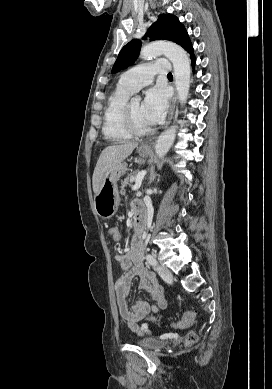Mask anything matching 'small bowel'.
<instances>
[{
    "mask_svg": "<svg viewBox=\"0 0 272 389\" xmlns=\"http://www.w3.org/2000/svg\"><path fill=\"white\" fill-rule=\"evenodd\" d=\"M133 210L136 214L138 211H142V206L139 203H133ZM116 260L125 271L115 283L119 313L131 330L142 333L147 330V326L145 324L139 325L138 322L150 311L157 312L159 309L165 308L164 289L156 280L155 275L145 267L143 247L138 237L133 238L130 250L125 254L118 255ZM134 277H139V288L145 290L157 306H150L141 300H136L131 306H128L127 297Z\"/></svg>",
    "mask_w": 272,
    "mask_h": 389,
    "instance_id": "1",
    "label": "small bowel"
}]
</instances>
